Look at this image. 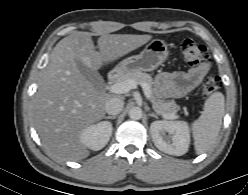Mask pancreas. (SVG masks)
I'll return each instance as SVG.
<instances>
[{
  "label": "pancreas",
  "mask_w": 248,
  "mask_h": 195,
  "mask_svg": "<svg viewBox=\"0 0 248 195\" xmlns=\"http://www.w3.org/2000/svg\"><path fill=\"white\" fill-rule=\"evenodd\" d=\"M126 80H135L139 85L146 83L150 87L152 107L157 114L162 115L164 118L167 116V119H176L179 117L177 112L180 107L174 100L164 101L159 98L158 94H156V90L153 88V79L149 74L144 72L123 74L117 78V83Z\"/></svg>",
  "instance_id": "obj_1"
}]
</instances>
